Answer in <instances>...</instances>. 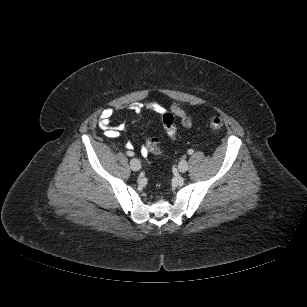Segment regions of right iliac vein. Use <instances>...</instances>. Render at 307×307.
Here are the masks:
<instances>
[{
  "label": "right iliac vein",
  "mask_w": 307,
  "mask_h": 307,
  "mask_svg": "<svg viewBox=\"0 0 307 307\" xmlns=\"http://www.w3.org/2000/svg\"><path fill=\"white\" fill-rule=\"evenodd\" d=\"M130 167L134 171H139L141 168V163L138 159L134 158L130 161Z\"/></svg>",
  "instance_id": "obj_1"
}]
</instances>
